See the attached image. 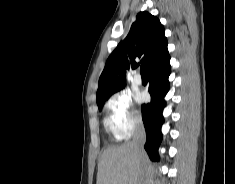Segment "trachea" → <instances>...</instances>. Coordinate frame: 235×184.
I'll return each mask as SVG.
<instances>
[{"label":"trachea","instance_id":"trachea-1","mask_svg":"<svg viewBox=\"0 0 235 184\" xmlns=\"http://www.w3.org/2000/svg\"><path fill=\"white\" fill-rule=\"evenodd\" d=\"M140 72H141V76H142V77H146L144 65H141V70H140Z\"/></svg>","mask_w":235,"mask_h":184}]
</instances>
